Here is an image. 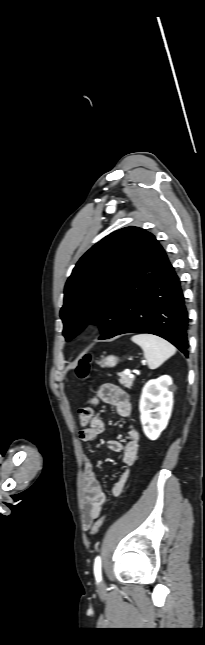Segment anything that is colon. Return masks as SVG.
<instances>
[{"instance_id": "colon-1", "label": "colon", "mask_w": 205, "mask_h": 645, "mask_svg": "<svg viewBox=\"0 0 205 645\" xmlns=\"http://www.w3.org/2000/svg\"><path fill=\"white\" fill-rule=\"evenodd\" d=\"M90 363H91V357L89 355L85 356L83 359H81L76 367V375L79 379L81 380H86L89 377L90 374ZM97 403L96 398L90 399L89 403L87 406L82 407L78 411V420L82 426H86L91 422L94 416L93 412V406ZM105 520V516L99 517L92 525L91 527V535H96L101 526L103 525V522Z\"/></svg>"}]
</instances>
